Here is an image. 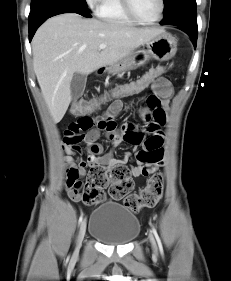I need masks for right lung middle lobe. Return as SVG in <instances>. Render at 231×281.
Returning <instances> with one entry per match:
<instances>
[{
	"label": "right lung middle lobe",
	"mask_w": 231,
	"mask_h": 281,
	"mask_svg": "<svg viewBox=\"0 0 231 281\" xmlns=\"http://www.w3.org/2000/svg\"><path fill=\"white\" fill-rule=\"evenodd\" d=\"M33 1H35V0H31V3H32ZM80 1L84 2V0H80ZM84 3H85V2H84Z\"/></svg>",
	"instance_id": "obj_1"
}]
</instances>
